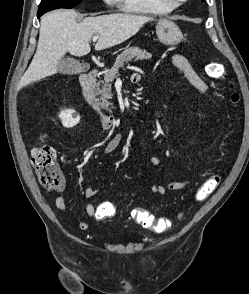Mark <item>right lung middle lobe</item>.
I'll return each mask as SVG.
<instances>
[{
	"mask_svg": "<svg viewBox=\"0 0 249 294\" xmlns=\"http://www.w3.org/2000/svg\"><path fill=\"white\" fill-rule=\"evenodd\" d=\"M82 0H42L38 13H46L53 9L58 8H73L78 5Z\"/></svg>",
	"mask_w": 249,
	"mask_h": 294,
	"instance_id": "obj_1",
	"label": "right lung middle lobe"
}]
</instances>
